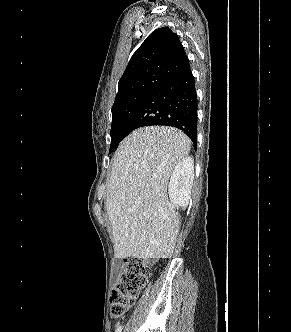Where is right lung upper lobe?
Segmentation results:
<instances>
[{"mask_svg":"<svg viewBox=\"0 0 291 332\" xmlns=\"http://www.w3.org/2000/svg\"><path fill=\"white\" fill-rule=\"evenodd\" d=\"M188 66V57L177 34L168 27L156 29L131 57L118 82L115 100L149 89Z\"/></svg>","mask_w":291,"mask_h":332,"instance_id":"1","label":"right lung upper lobe"}]
</instances>
